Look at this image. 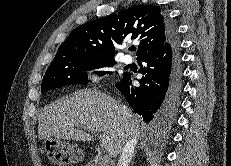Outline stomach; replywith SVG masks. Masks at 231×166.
Returning <instances> with one entry per match:
<instances>
[{
    "instance_id": "obj_1",
    "label": "stomach",
    "mask_w": 231,
    "mask_h": 166,
    "mask_svg": "<svg viewBox=\"0 0 231 166\" xmlns=\"http://www.w3.org/2000/svg\"><path fill=\"white\" fill-rule=\"evenodd\" d=\"M44 147L50 160L59 166L76 164L84 159V152L78 145L58 138L46 140Z\"/></svg>"
}]
</instances>
